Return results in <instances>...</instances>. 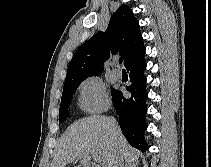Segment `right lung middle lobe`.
I'll use <instances>...</instances> for the list:
<instances>
[{"label":"right lung middle lobe","mask_w":211,"mask_h":167,"mask_svg":"<svg viewBox=\"0 0 211 167\" xmlns=\"http://www.w3.org/2000/svg\"><path fill=\"white\" fill-rule=\"evenodd\" d=\"M84 79L85 78L64 84L62 98H61V106H60V111H59V122H62L69 117V112H68L67 107L69 106L72 96L74 92L76 91L77 87L79 86L81 81H83ZM114 91L115 90H112L111 94H113Z\"/></svg>","instance_id":"obj_1"}]
</instances>
